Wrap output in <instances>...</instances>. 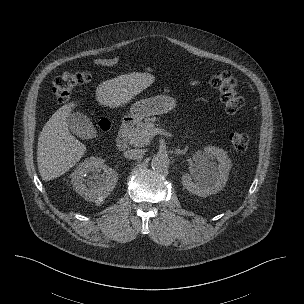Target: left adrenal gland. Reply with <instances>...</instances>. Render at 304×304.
Masks as SVG:
<instances>
[{
    "mask_svg": "<svg viewBox=\"0 0 304 304\" xmlns=\"http://www.w3.org/2000/svg\"><path fill=\"white\" fill-rule=\"evenodd\" d=\"M187 150H188V146H186L185 149H183V150H180V149L177 148V149H175V154L183 155L187 152Z\"/></svg>",
    "mask_w": 304,
    "mask_h": 304,
    "instance_id": "left-adrenal-gland-1",
    "label": "left adrenal gland"
}]
</instances>
